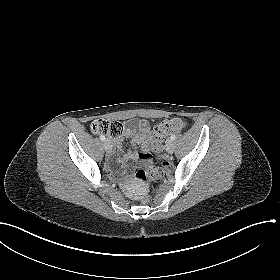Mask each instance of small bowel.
I'll return each mask as SVG.
<instances>
[{
	"instance_id": "1",
	"label": "small bowel",
	"mask_w": 280,
	"mask_h": 280,
	"mask_svg": "<svg viewBox=\"0 0 280 280\" xmlns=\"http://www.w3.org/2000/svg\"><path fill=\"white\" fill-rule=\"evenodd\" d=\"M131 138L132 144L137 151H128L124 153L120 159L122 163L129 161L142 160L146 161L150 158V152L153 149L154 141L151 139V126L145 119H134L126 122L122 126V133L113 140L114 152L123 151L124 139ZM109 154V161H113V153Z\"/></svg>"
}]
</instances>
